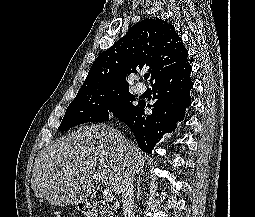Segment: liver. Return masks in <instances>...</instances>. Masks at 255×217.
<instances>
[{"label":"liver","mask_w":255,"mask_h":217,"mask_svg":"<svg viewBox=\"0 0 255 217\" xmlns=\"http://www.w3.org/2000/svg\"><path fill=\"white\" fill-rule=\"evenodd\" d=\"M145 156L121 132L92 124L63 136L43 148L34 163L31 186L39 198L54 206L84 202L100 175L115 194L122 189L126 167L142 174ZM71 171V175L67 172Z\"/></svg>","instance_id":"6515ba94"}]
</instances>
